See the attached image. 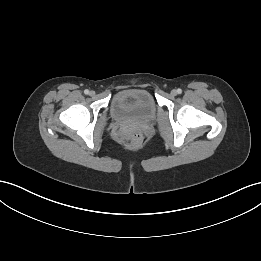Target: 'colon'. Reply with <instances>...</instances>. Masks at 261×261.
<instances>
[{"label": "colon", "mask_w": 261, "mask_h": 261, "mask_svg": "<svg viewBox=\"0 0 261 261\" xmlns=\"http://www.w3.org/2000/svg\"><path fill=\"white\" fill-rule=\"evenodd\" d=\"M140 138H141V136H140L139 133L134 132V133H132V135H131V139H132V141H134V142H138V141L140 140Z\"/></svg>", "instance_id": "1"}]
</instances>
